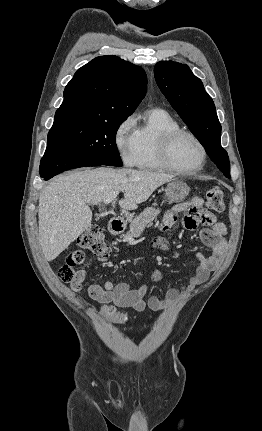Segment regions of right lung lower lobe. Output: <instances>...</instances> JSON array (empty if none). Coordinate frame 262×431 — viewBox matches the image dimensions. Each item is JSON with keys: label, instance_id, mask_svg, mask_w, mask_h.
Instances as JSON below:
<instances>
[{"label": "right lung lower lobe", "instance_id": "obj_1", "mask_svg": "<svg viewBox=\"0 0 262 431\" xmlns=\"http://www.w3.org/2000/svg\"><path fill=\"white\" fill-rule=\"evenodd\" d=\"M98 162L74 158H42L40 162V176L49 180L53 176L73 168L100 166Z\"/></svg>", "mask_w": 262, "mask_h": 431}]
</instances>
